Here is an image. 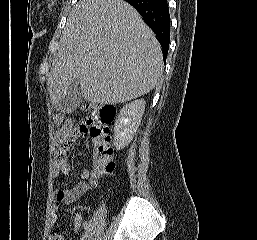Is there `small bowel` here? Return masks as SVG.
<instances>
[{
  "mask_svg": "<svg viewBox=\"0 0 257 240\" xmlns=\"http://www.w3.org/2000/svg\"><path fill=\"white\" fill-rule=\"evenodd\" d=\"M86 131L85 127L80 124L72 126L66 124L55 133V172L62 176H68L72 173V165L67 160V151L73 142L83 135ZM90 170L84 169L79 176L78 183L68 189H59L55 192V203L50 209V222L56 223L58 219V203L69 205L79 200L90 188ZM86 227V223L80 216L74 218V231L80 233ZM48 240H65L63 235L59 233H51Z\"/></svg>",
  "mask_w": 257,
  "mask_h": 240,
  "instance_id": "c3829d8e",
  "label": "small bowel"
}]
</instances>
